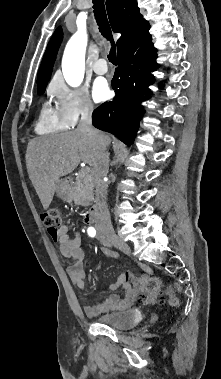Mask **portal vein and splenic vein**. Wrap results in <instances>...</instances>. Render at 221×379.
<instances>
[{
	"label": "portal vein and splenic vein",
	"instance_id": "18ae733b",
	"mask_svg": "<svg viewBox=\"0 0 221 379\" xmlns=\"http://www.w3.org/2000/svg\"><path fill=\"white\" fill-rule=\"evenodd\" d=\"M89 171H90V169L89 168H84V169H82L81 170V175H86V174H88L89 173Z\"/></svg>",
	"mask_w": 221,
	"mask_h": 379
}]
</instances>
